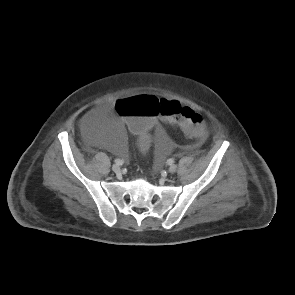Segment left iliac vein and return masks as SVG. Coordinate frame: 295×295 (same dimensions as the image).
I'll return each instance as SVG.
<instances>
[{
	"label": "left iliac vein",
	"instance_id": "left-iliac-vein-1",
	"mask_svg": "<svg viewBox=\"0 0 295 295\" xmlns=\"http://www.w3.org/2000/svg\"><path fill=\"white\" fill-rule=\"evenodd\" d=\"M176 170H177V165L176 164H172V165L169 166L168 171L170 173H174V172H176Z\"/></svg>",
	"mask_w": 295,
	"mask_h": 295
}]
</instances>
